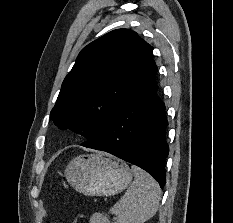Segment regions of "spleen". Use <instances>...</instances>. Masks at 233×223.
<instances>
[{"label":"spleen","mask_w":233,"mask_h":223,"mask_svg":"<svg viewBox=\"0 0 233 223\" xmlns=\"http://www.w3.org/2000/svg\"><path fill=\"white\" fill-rule=\"evenodd\" d=\"M135 179L110 209L117 215L116 223H144L153 217L159 207L161 187L149 173L133 167ZM90 223H109L107 213H93Z\"/></svg>","instance_id":"spleen-1"}]
</instances>
